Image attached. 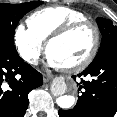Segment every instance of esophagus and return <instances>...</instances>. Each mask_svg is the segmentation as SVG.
<instances>
[{"label":"esophagus","instance_id":"esophagus-1","mask_svg":"<svg viewBox=\"0 0 117 117\" xmlns=\"http://www.w3.org/2000/svg\"><path fill=\"white\" fill-rule=\"evenodd\" d=\"M51 79H52L51 75L43 74V81H44V83L49 82Z\"/></svg>","mask_w":117,"mask_h":117}]
</instances>
